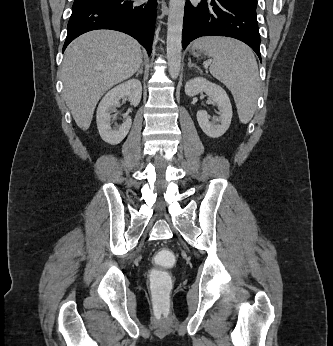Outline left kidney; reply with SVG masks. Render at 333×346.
Returning a JSON list of instances; mask_svg holds the SVG:
<instances>
[{
	"label": "left kidney",
	"instance_id": "left-kidney-1",
	"mask_svg": "<svg viewBox=\"0 0 333 346\" xmlns=\"http://www.w3.org/2000/svg\"><path fill=\"white\" fill-rule=\"evenodd\" d=\"M200 92H205L217 104L220 117L217 119V122H210L208 114L205 111H198L197 121L207 136L211 138L221 137L231 124L232 106L230 99L221 86L203 77H196L186 83V95L195 96Z\"/></svg>",
	"mask_w": 333,
	"mask_h": 346
}]
</instances>
